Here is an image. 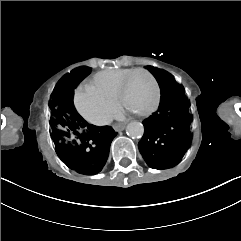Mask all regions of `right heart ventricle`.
<instances>
[{"instance_id": "1", "label": "right heart ventricle", "mask_w": 241, "mask_h": 241, "mask_svg": "<svg viewBox=\"0 0 241 241\" xmlns=\"http://www.w3.org/2000/svg\"><path fill=\"white\" fill-rule=\"evenodd\" d=\"M129 70L133 69L108 68L85 79L82 85H96L103 93L110 94L111 97L107 99L112 100L113 96L116 94L117 83H119V80L122 78L123 74L127 73Z\"/></svg>"}]
</instances>
